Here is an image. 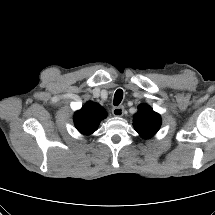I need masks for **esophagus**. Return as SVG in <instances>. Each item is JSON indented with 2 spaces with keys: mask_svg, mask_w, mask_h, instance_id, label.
I'll return each mask as SVG.
<instances>
[{
  "mask_svg": "<svg viewBox=\"0 0 215 215\" xmlns=\"http://www.w3.org/2000/svg\"><path fill=\"white\" fill-rule=\"evenodd\" d=\"M112 113H113L114 116L120 117L124 113V107L123 106L114 107L112 109Z\"/></svg>",
  "mask_w": 215,
  "mask_h": 215,
  "instance_id": "1",
  "label": "esophagus"
}]
</instances>
